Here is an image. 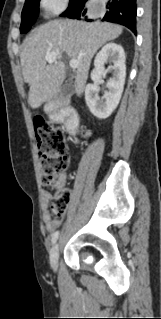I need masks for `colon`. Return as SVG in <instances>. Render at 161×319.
<instances>
[{"instance_id":"obj_1","label":"colon","mask_w":161,"mask_h":319,"mask_svg":"<svg viewBox=\"0 0 161 319\" xmlns=\"http://www.w3.org/2000/svg\"><path fill=\"white\" fill-rule=\"evenodd\" d=\"M35 134L42 184L45 187L57 186L51 199V208L55 214L63 215L70 205L71 193L56 182L68 165V148L62 127L58 123L36 118Z\"/></svg>"}]
</instances>
